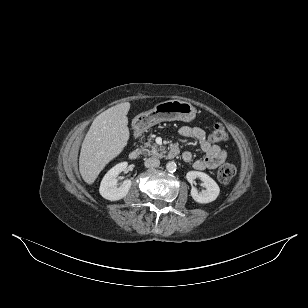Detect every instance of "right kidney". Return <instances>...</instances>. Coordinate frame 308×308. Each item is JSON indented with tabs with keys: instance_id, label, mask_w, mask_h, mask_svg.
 Wrapping results in <instances>:
<instances>
[{
	"instance_id": "1",
	"label": "right kidney",
	"mask_w": 308,
	"mask_h": 308,
	"mask_svg": "<svg viewBox=\"0 0 308 308\" xmlns=\"http://www.w3.org/2000/svg\"><path fill=\"white\" fill-rule=\"evenodd\" d=\"M128 166L127 162H121L111 168L101 181L99 192L101 196L110 201L120 200L128 194L131 187V180H125L117 187V176Z\"/></svg>"
}]
</instances>
